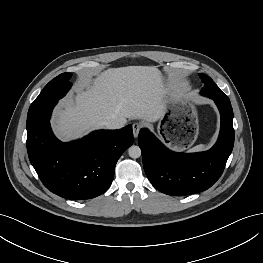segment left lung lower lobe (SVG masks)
I'll return each instance as SVG.
<instances>
[{
    "mask_svg": "<svg viewBox=\"0 0 263 263\" xmlns=\"http://www.w3.org/2000/svg\"><path fill=\"white\" fill-rule=\"evenodd\" d=\"M213 99L220 111L221 128L208 151L176 153L167 149L149 130L141 129L138 143L145 173L152 185L168 195H190L210 188L221 176L234 145L230 100Z\"/></svg>",
    "mask_w": 263,
    "mask_h": 263,
    "instance_id": "obj_1",
    "label": "left lung lower lobe"
}]
</instances>
